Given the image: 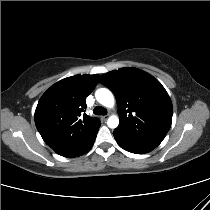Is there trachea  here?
Returning <instances> with one entry per match:
<instances>
[{
  "label": "trachea",
  "instance_id": "trachea-1",
  "mask_svg": "<svg viewBox=\"0 0 210 210\" xmlns=\"http://www.w3.org/2000/svg\"><path fill=\"white\" fill-rule=\"evenodd\" d=\"M93 113L96 115H106L107 110L101 106H96L93 110Z\"/></svg>",
  "mask_w": 210,
  "mask_h": 210
}]
</instances>
